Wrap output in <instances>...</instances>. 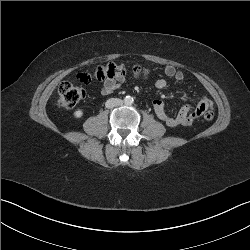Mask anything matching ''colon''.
<instances>
[{"instance_id":"5ec220e1","label":"colon","mask_w":250,"mask_h":250,"mask_svg":"<svg viewBox=\"0 0 250 250\" xmlns=\"http://www.w3.org/2000/svg\"><path fill=\"white\" fill-rule=\"evenodd\" d=\"M129 72L137 78L148 76V71L141 67L136 66L129 71L124 65L110 63L105 66L98 67L92 76L88 74H80L79 79L82 83L86 84L90 82L91 78L103 81L116 77H125ZM84 96V90L69 81H63L58 88V103L60 106L65 108H71L77 105L83 100ZM203 117L205 120L210 121L213 119V112L211 110H207L203 113Z\"/></svg>"}]
</instances>
